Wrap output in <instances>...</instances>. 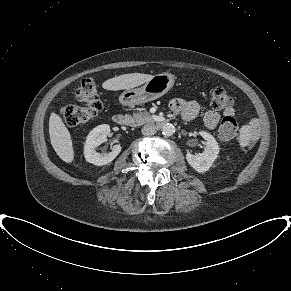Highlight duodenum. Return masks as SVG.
<instances>
[{"mask_svg":"<svg viewBox=\"0 0 291 291\" xmlns=\"http://www.w3.org/2000/svg\"><path fill=\"white\" fill-rule=\"evenodd\" d=\"M113 121H114L116 124L120 125V126H127V125L130 124V118H129L127 115H125V114H115V115L113 116ZM164 123H166L165 120H160V121H157L156 124H157L158 126H161V125H163Z\"/></svg>","mask_w":291,"mask_h":291,"instance_id":"obj_1","label":"duodenum"}]
</instances>
